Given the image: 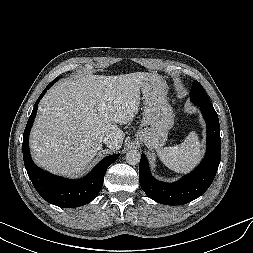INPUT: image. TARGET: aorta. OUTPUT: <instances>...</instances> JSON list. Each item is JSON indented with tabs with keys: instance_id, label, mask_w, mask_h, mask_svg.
<instances>
[{
	"instance_id": "1",
	"label": "aorta",
	"mask_w": 253,
	"mask_h": 253,
	"mask_svg": "<svg viewBox=\"0 0 253 253\" xmlns=\"http://www.w3.org/2000/svg\"><path fill=\"white\" fill-rule=\"evenodd\" d=\"M141 154L138 150H130L126 154V162L129 165H137L140 162Z\"/></svg>"
}]
</instances>
